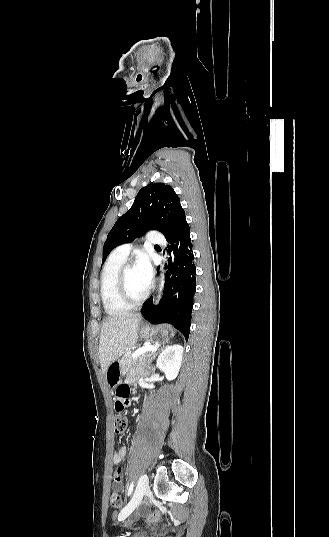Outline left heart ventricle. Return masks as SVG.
Wrapping results in <instances>:
<instances>
[{
  "label": "left heart ventricle",
  "mask_w": 329,
  "mask_h": 537,
  "mask_svg": "<svg viewBox=\"0 0 329 537\" xmlns=\"http://www.w3.org/2000/svg\"><path fill=\"white\" fill-rule=\"evenodd\" d=\"M126 288L128 294L133 299L140 298L147 290V287L141 282L133 266L126 272Z\"/></svg>",
  "instance_id": "left-heart-ventricle-1"
}]
</instances>
